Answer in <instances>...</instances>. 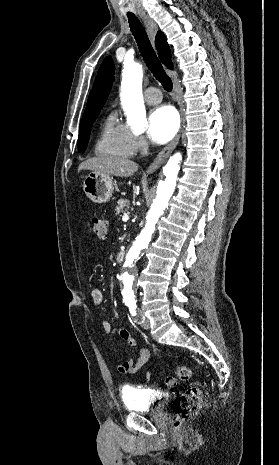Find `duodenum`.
Masks as SVG:
<instances>
[{
  "label": "duodenum",
  "mask_w": 279,
  "mask_h": 465,
  "mask_svg": "<svg viewBox=\"0 0 279 465\" xmlns=\"http://www.w3.org/2000/svg\"><path fill=\"white\" fill-rule=\"evenodd\" d=\"M124 257H125V252L124 251H119L116 255V260L118 262H122L124 260Z\"/></svg>",
  "instance_id": "obj_1"
}]
</instances>
